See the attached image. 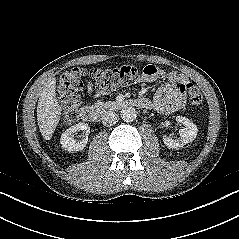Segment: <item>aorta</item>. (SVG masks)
Returning a JSON list of instances; mask_svg holds the SVG:
<instances>
[{
	"mask_svg": "<svg viewBox=\"0 0 239 239\" xmlns=\"http://www.w3.org/2000/svg\"><path fill=\"white\" fill-rule=\"evenodd\" d=\"M120 115L122 120L125 122H133L137 117L136 110L133 107L123 108L120 112Z\"/></svg>",
	"mask_w": 239,
	"mask_h": 239,
	"instance_id": "obj_1",
	"label": "aorta"
}]
</instances>
